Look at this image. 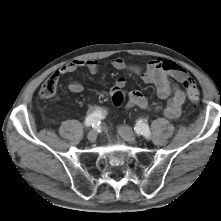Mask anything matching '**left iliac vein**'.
<instances>
[{"instance_id": "1", "label": "left iliac vein", "mask_w": 221, "mask_h": 221, "mask_svg": "<svg viewBox=\"0 0 221 221\" xmlns=\"http://www.w3.org/2000/svg\"><path fill=\"white\" fill-rule=\"evenodd\" d=\"M118 133L129 143L131 144H136L137 140H136V136L132 130L131 127L129 126H119L118 127Z\"/></svg>"}]
</instances>
